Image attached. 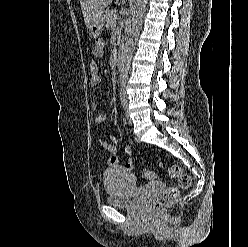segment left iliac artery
<instances>
[{"label": "left iliac artery", "mask_w": 248, "mask_h": 247, "mask_svg": "<svg viewBox=\"0 0 248 247\" xmlns=\"http://www.w3.org/2000/svg\"><path fill=\"white\" fill-rule=\"evenodd\" d=\"M121 104H122L123 108L127 107L126 92H125L124 88L121 89Z\"/></svg>", "instance_id": "obj_1"}]
</instances>
